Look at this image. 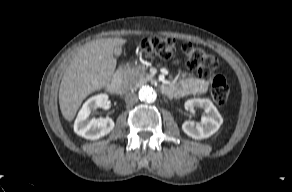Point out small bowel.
<instances>
[{
	"instance_id": "1",
	"label": "small bowel",
	"mask_w": 292,
	"mask_h": 192,
	"mask_svg": "<svg viewBox=\"0 0 292 192\" xmlns=\"http://www.w3.org/2000/svg\"><path fill=\"white\" fill-rule=\"evenodd\" d=\"M179 63V61H176ZM212 84V78L184 77L168 84L164 92L175 98L206 93Z\"/></svg>"
}]
</instances>
